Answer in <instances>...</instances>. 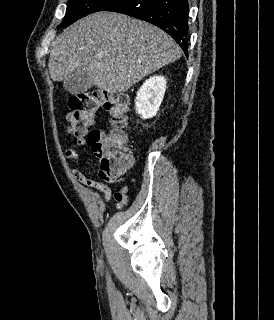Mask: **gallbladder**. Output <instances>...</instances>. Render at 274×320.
Returning a JSON list of instances; mask_svg holds the SVG:
<instances>
[{"label": "gallbladder", "instance_id": "1", "mask_svg": "<svg viewBox=\"0 0 274 320\" xmlns=\"http://www.w3.org/2000/svg\"><path fill=\"white\" fill-rule=\"evenodd\" d=\"M64 85L68 95H83L93 86L89 82L86 68H71V72H67V78H64Z\"/></svg>", "mask_w": 274, "mask_h": 320}]
</instances>
